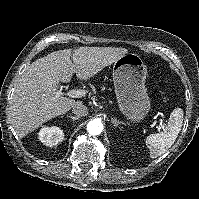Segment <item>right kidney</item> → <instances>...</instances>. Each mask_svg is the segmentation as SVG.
I'll return each instance as SVG.
<instances>
[{
    "mask_svg": "<svg viewBox=\"0 0 199 199\" xmlns=\"http://www.w3.org/2000/svg\"><path fill=\"white\" fill-rule=\"evenodd\" d=\"M38 138L46 146L52 147L63 141L64 133L63 130L56 126L43 127L38 133Z\"/></svg>",
    "mask_w": 199,
    "mask_h": 199,
    "instance_id": "right-kidney-1",
    "label": "right kidney"
}]
</instances>
